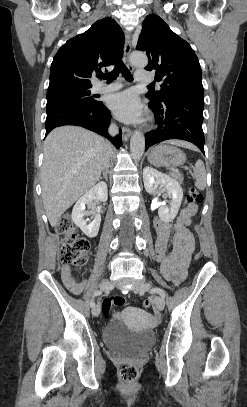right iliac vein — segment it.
Listing matches in <instances>:
<instances>
[{
	"mask_svg": "<svg viewBox=\"0 0 247 407\" xmlns=\"http://www.w3.org/2000/svg\"><path fill=\"white\" fill-rule=\"evenodd\" d=\"M112 287H113V284H112L109 280H104V281H102V283H101V285H100V288H101L102 290H105V291L110 290ZM100 311H101L100 305L97 304V305L94 306V308L92 309V314H93L94 316H99Z\"/></svg>",
	"mask_w": 247,
	"mask_h": 407,
	"instance_id": "right-iliac-vein-1",
	"label": "right iliac vein"
}]
</instances>
